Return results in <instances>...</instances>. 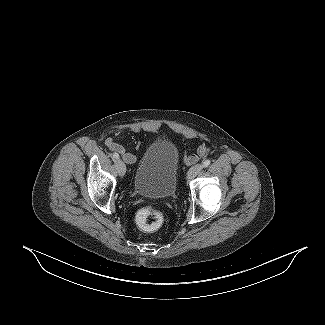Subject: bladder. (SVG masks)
<instances>
[{"instance_id": "31cf9c89", "label": "bladder", "mask_w": 325, "mask_h": 325, "mask_svg": "<svg viewBox=\"0 0 325 325\" xmlns=\"http://www.w3.org/2000/svg\"><path fill=\"white\" fill-rule=\"evenodd\" d=\"M180 155L168 139L152 142L143 154L135 175L134 189L145 197L168 198L175 194Z\"/></svg>"}]
</instances>
